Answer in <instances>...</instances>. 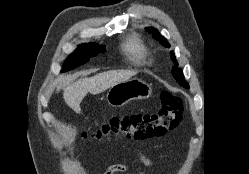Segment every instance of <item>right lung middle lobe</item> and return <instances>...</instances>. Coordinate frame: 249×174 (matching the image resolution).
Instances as JSON below:
<instances>
[{
    "label": "right lung middle lobe",
    "instance_id": "right-lung-middle-lobe-1",
    "mask_svg": "<svg viewBox=\"0 0 249 174\" xmlns=\"http://www.w3.org/2000/svg\"><path fill=\"white\" fill-rule=\"evenodd\" d=\"M99 52H104V47L95 44H81L72 53L64 63L61 72L72 70L77 66L85 64L92 56H96Z\"/></svg>",
    "mask_w": 249,
    "mask_h": 174
}]
</instances>
